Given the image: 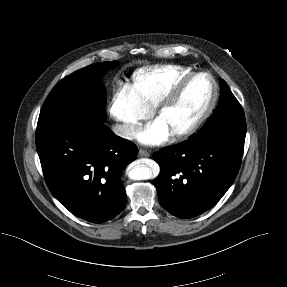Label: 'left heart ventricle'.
I'll use <instances>...</instances> for the list:
<instances>
[{"instance_id": "left-heart-ventricle-1", "label": "left heart ventricle", "mask_w": 287, "mask_h": 287, "mask_svg": "<svg viewBox=\"0 0 287 287\" xmlns=\"http://www.w3.org/2000/svg\"><path fill=\"white\" fill-rule=\"evenodd\" d=\"M211 96V83L206 77H198L183 90L177 101L157 121L169 131L190 124L206 107Z\"/></svg>"}]
</instances>
